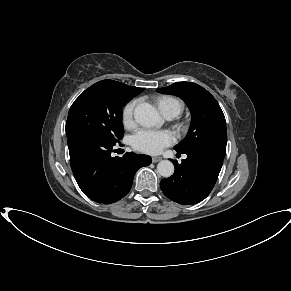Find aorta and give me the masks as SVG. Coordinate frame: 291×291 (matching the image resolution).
<instances>
[{"label": "aorta", "mask_w": 291, "mask_h": 291, "mask_svg": "<svg viewBox=\"0 0 291 291\" xmlns=\"http://www.w3.org/2000/svg\"><path fill=\"white\" fill-rule=\"evenodd\" d=\"M134 118L144 127H152L161 122L158 111L149 103H140L134 109ZM157 172L162 177L168 178L174 173V165L169 160H162L157 165Z\"/></svg>", "instance_id": "1"}]
</instances>
